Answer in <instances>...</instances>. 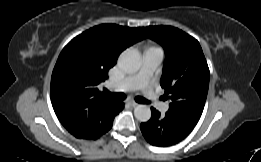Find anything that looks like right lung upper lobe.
<instances>
[{"mask_svg":"<svg viewBox=\"0 0 261 162\" xmlns=\"http://www.w3.org/2000/svg\"><path fill=\"white\" fill-rule=\"evenodd\" d=\"M144 37L139 27L102 24L64 47L52 73L50 96L59 121L76 138L92 137L119 113L120 103L97 86L119 54Z\"/></svg>","mask_w":261,"mask_h":162,"instance_id":"1","label":"right lung upper lobe"}]
</instances>
